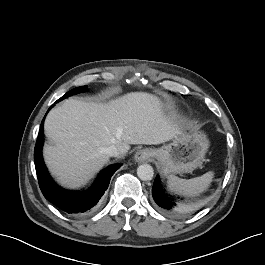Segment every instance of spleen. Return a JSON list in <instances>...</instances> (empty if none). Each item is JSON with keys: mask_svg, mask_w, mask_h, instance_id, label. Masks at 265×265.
Masks as SVG:
<instances>
[{"mask_svg": "<svg viewBox=\"0 0 265 265\" xmlns=\"http://www.w3.org/2000/svg\"><path fill=\"white\" fill-rule=\"evenodd\" d=\"M214 172L209 171L192 179H182L175 175L168 176V187L172 192L185 196H196L204 192L211 184Z\"/></svg>", "mask_w": 265, "mask_h": 265, "instance_id": "1", "label": "spleen"}]
</instances>
